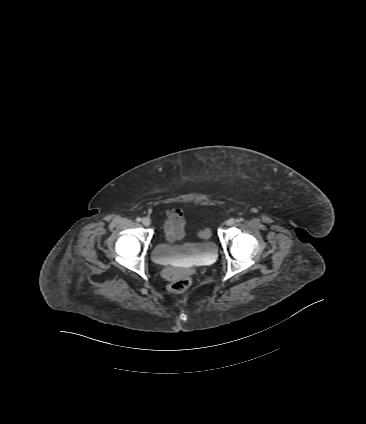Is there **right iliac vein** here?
<instances>
[{"instance_id": "right-iliac-vein-1", "label": "right iliac vein", "mask_w": 366, "mask_h": 424, "mask_svg": "<svg viewBox=\"0 0 366 424\" xmlns=\"http://www.w3.org/2000/svg\"><path fill=\"white\" fill-rule=\"evenodd\" d=\"M142 223H143V225H145V226H149V225H150V223H151V221H150V219H149V218L145 217V218H143V219H142Z\"/></svg>"}]
</instances>
